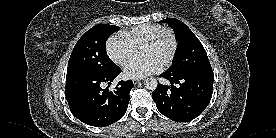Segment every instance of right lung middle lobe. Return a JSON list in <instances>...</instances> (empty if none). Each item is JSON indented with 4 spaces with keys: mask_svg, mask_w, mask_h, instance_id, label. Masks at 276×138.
Returning a JSON list of instances; mask_svg holds the SVG:
<instances>
[{
    "mask_svg": "<svg viewBox=\"0 0 276 138\" xmlns=\"http://www.w3.org/2000/svg\"><path fill=\"white\" fill-rule=\"evenodd\" d=\"M118 26L97 24L76 43L67 68L66 80L86 74H107L118 66L106 53L105 42Z\"/></svg>",
    "mask_w": 276,
    "mask_h": 138,
    "instance_id": "1",
    "label": "right lung middle lobe"
}]
</instances>
